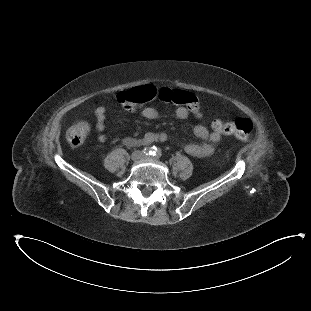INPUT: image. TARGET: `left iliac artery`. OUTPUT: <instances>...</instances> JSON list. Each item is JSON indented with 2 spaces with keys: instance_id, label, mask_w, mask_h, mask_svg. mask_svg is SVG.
Here are the masks:
<instances>
[{
  "instance_id": "left-iliac-artery-1",
  "label": "left iliac artery",
  "mask_w": 311,
  "mask_h": 311,
  "mask_svg": "<svg viewBox=\"0 0 311 311\" xmlns=\"http://www.w3.org/2000/svg\"><path fill=\"white\" fill-rule=\"evenodd\" d=\"M153 155L157 158H160L162 156V151L160 148L158 147H154V150H153Z\"/></svg>"
}]
</instances>
